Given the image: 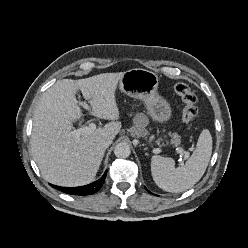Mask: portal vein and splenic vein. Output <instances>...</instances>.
<instances>
[{
	"mask_svg": "<svg viewBox=\"0 0 248 248\" xmlns=\"http://www.w3.org/2000/svg\"><path fill=\"white\" fill-rule=\"evenodd\" d=\"M79 104L82 105L85 109H89V106L85 102H80ZM96 127L97 126L95 123H90L88 126L71 131L70 136H72L73 138H79L81 135L93 132L94 130H96ZM176 152L181 155L185 153V157H188V152H184L182 147L176 148ZM179 161L180 163H182V158Z\"/></svg>",
	"mask_w": 248,
	"mask_h": 248,
	"instance_id": "portal-vein-and-splenic-vein-1",
	"label": "portal vein and splenic vein"
}]
</instances>
